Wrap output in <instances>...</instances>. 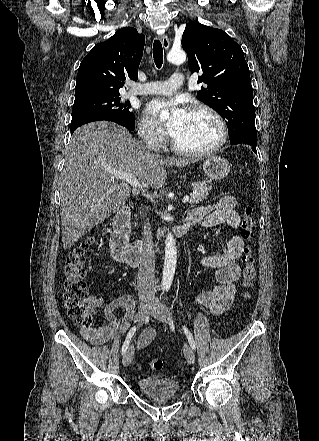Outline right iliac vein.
Returning a JSON list of instances; mask_svg holds the SVG:
<instances>
[{
  "label": "right iliac vein",
  "instance_id": "1",
  "mask_svg": "<svg viewBox=\"0 0 319 441\" xmlns=\"http://www.w3.org/2000/svg\"><path fill=\"white\" fill-rule=\"evenodd\" d=\"M150 306H151L150 300L145 299V300L141 301L140 306H139V314H138L139 321L144 320V318L146 317V315L148 313V310L150 309ZM133 357H134V348H133V346H131L124 354L123 365L128 366L132 362Z\"/></svg>",
  "mask_w": 319,
  "mask_h": 441
}]
</instances>
